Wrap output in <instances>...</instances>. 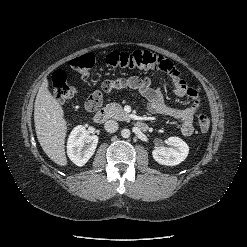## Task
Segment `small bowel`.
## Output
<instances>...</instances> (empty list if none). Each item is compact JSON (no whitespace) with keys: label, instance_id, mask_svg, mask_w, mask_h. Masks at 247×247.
I'll return each instance as SVG.
<instances>
[{"label":"small bowel","instance_id":"1","mask_svg":"<svg viewBox=\"0 0 247 247\" xmlns=\"http://www.w3.org/2000/svg\"><path fill=\"white\" fill-rule=\"evenodd\" d=\"M174 83V93L178 97H188L191 105L186 108H176L165 103L163 94L159 88L152 87L149 77H130L126 79L106 80L102 88L106 92L117 89H131L138 91L147 102V109L153 114H162L180 121V131L184 136L193 134V119L200 110L201 100L196 89L187 85L180 74L171 75ZM102 104V93L95 91L85 102L89 111H94Z\"/></svg>","mask_w":247,"mask_h":247}]
</instances>
